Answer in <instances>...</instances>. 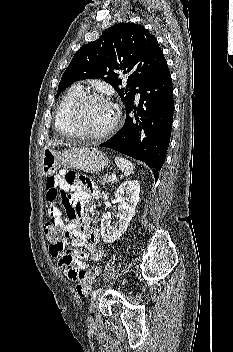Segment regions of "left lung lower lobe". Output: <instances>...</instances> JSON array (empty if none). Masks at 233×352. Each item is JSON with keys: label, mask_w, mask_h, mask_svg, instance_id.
<instances>
[{"label": "left lung lower lobe", "mask_w": 233, "mask_h": 352, "mask_svg": "<svg viewBox=\"0 0 233 352\" xmlns=\"http://www.w3.org/2000/svg\"><path fill=\"white\" fill-rule=\"evenodd\" d=\"M139 93L138 107L133 100L126 107L124 126L100 146L145 162L157 180L165 161L173 122V87L168 65L146 82ZM131 112L135 117L129 115Z\"/></svg>", "instance_id": "left-lung-lower-lobe-1"}]
</instances>
